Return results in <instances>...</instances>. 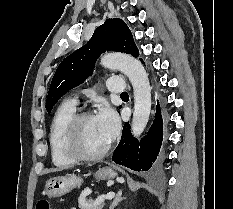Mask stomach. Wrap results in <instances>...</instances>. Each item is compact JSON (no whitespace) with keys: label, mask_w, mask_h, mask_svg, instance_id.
<instances>
[{"label":"stomach","mask_w":233,"mask_h":209,"mask_svg":"<svg viewBox=\"0 0 233 209\" xmlns=\"http://www.w3.org/2000/svg\"><path fill=\"white\" fill-rule=\"evenodd\" d=\"M95 176L98 180H110L117 176L115 170L110 167L99 169ZM83 180L80 176L67 174L47 180L45 185V193L49 197H61L69 193L72 189L79 187Z\"/></svg>","instance_id":"1"}]
</instances>
